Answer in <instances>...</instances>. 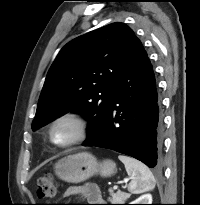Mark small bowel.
Segmentation results:
<instances>
[{
  "label": "small bowel",
  "instance_id": "small-bowel-1",
  "mask_svg": "<svg viewBox=\"0 0 200 205\" xmlns=\"http://www.w3.org/2000/svg\"><path fill=\"white\" fill-rule=\"evenodd\" d=\"M64 196H81L88 202L98 203L102 202V197L99 189L94 185H86V186H73L69 187ZM99 205V204H94Z\"/></svg>",
  "mask_w": 200,
  "mask_h": 205
}]
</instances>
